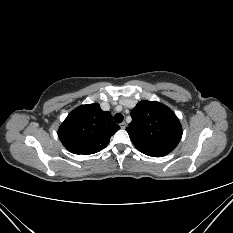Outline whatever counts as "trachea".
Instances as JSON below:
<instances>
[{
	"label": "trachea",
	"instance_id": "3493384b",
	"mask_svg": "<svg viewBox=\"0 0 233 233\" xmlns=\"http://www.w3.org/2000/svg\"><path fill=\"white\" fill-rule=\"evenodd\" d=\"M123 119H124V117L120 113H117V114L114 115V121L116 123H121L123 121Z\"/></svg>",
	"mask_w": 233,
	"mask_h": 233
}]
</instances>
